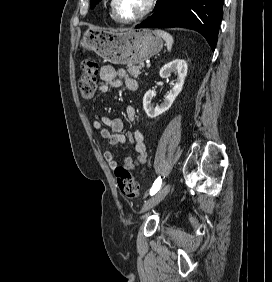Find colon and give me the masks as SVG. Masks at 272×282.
<instances>
[{
	"instance_id": "obj_1",
	"label": "colon",
	"mask_w": 272,
	"mask_h": 282,
	"mask_svg": "<svg viewBox=\"0 0 272 282\" xmlns=\"http://www.w3.org/2000/svg\"><path fill=\"white\" fill-rule=\"evenodd\" d=\"M98 65L91 58H86L82 61V74L79 78V88L81 96L84 99H91L97 89L98 82ZM115 176L120 194L127 199L137 197L139 193V183L130 172L123 167L115 169Z\"/></svg>"
}]
</instances>
